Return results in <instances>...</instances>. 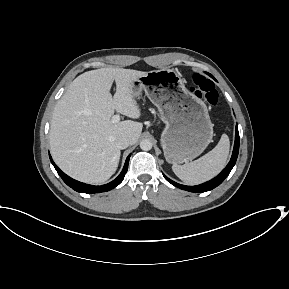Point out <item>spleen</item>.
<instances>
[{
    "instance_id": "1",
    "label": "spleen",
    "mask_w": 289,
    "mask_h": 289,
    "mask_svg": "<svg viewBox=\"0 0 289 289\" xmlns=\"http://www.w3.org/2000/svg\"><path fill=\"white\" fill-rule=\"evenodd\" d=\"M230 148V141L226 134L221 136L214 149L199 159L184 164L172 166L175 175L183 182L196 185L210 180L225 166Z\"/></svg>"
}]
</instances>
